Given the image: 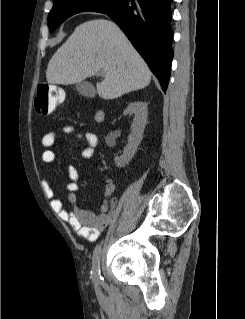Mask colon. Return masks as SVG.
<instances>
[{"label": "colon", "mask_w": 245, "mask_h": 319, "mask_svg": "<svg viewBox=\"0 0 245 319\" xmlns=\"http://www.w3.org/2000/svg\"><path fill=\"white\" fill-rule=\"evenodd\" d=\"M63 101V92L56 85L40 84L36 89L35 111L47 116Z\"/></svg>", "instance_id": "obj_1"}]
</instances>
